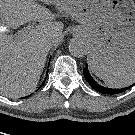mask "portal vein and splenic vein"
<instances>
[{"label":"portal vein and splenic vein","instance_id":"18ae733b","mask_svg":"<svg viewBox=\"0 0 135 135\" xmlns=\"http://www.w3.org/2000/svg\"><path fill=\"white\" fill-rule=\"evenodd\" d=\"M33 29V25L31 24H28L27 27L25 29H23L22 31H20L18 33V36L17 37H22L24 35H26L29 31H31Z\"/></svg>","mask_w":135,"mask_h":135}]
</instances>
